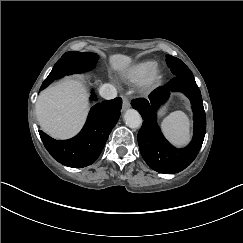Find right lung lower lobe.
Masks as SVG:
<instances>
[{"instance_id": "1", "label": "right lung lower lobe", "mask_w": 243, "mask_h": 243, "mask_svg": "<svg viewBox=\"0 0 243 243\" xmlns=\"http://www.w3.org/2000/svg\"><path fill=\"white\" fill-rule=\"evenodd\" d=\"M121 107V98L95 104L83 129L72 139L55 140L39 130L40 137L51 156L61 164L73 168L86 167L100 155L119 119Z\"/></svg>"}]
</instances>
